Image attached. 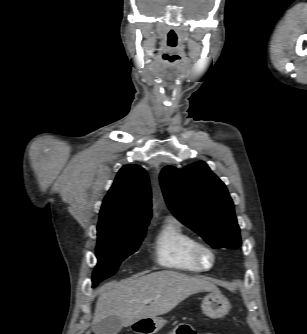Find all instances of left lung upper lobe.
<instances>
[{
  "label": "left lung upper lobe",
  "mask_w": 307,
  "mask_h": 334,
  "mask_svg": "<svg viewBox=\"0 0 307 334\" xmlns=\"http://www.w3.org/2000/svg\"><path fill=\"white\" fill-rule=\"evenodd\" d=\"M162 191L174 216L213 248L241 244L233 201L224 183L199 161L183 169L172 166L160 174Z\"/></svg>",
  "instance_id": "obj_1"
}]
</instances>
